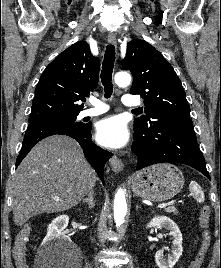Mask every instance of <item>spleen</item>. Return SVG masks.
Returning a JSON list of instances; mask_svg holds the SVG:
<instances>
[{
    "instance_id": "3e777b00",
    "label": "spleen",
    "mask_w": 221,
    "mask_h": 268,
    "mask_svg": "<svg viewBox=\"0 0 221 268\" xmlns=\"http://www.w3.org/2000/svg\"><path fill=\"white\" fill-rule=\"evenodd\" d=\"M189 189L192 192V194L194 195V198L199 203H203L204 202V200H205L204 192H203L202 188L198 185L197 182L191 181V183L189 185Z\"/></svg>"
}]
</instances>
